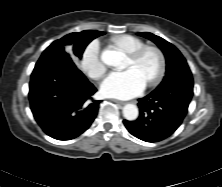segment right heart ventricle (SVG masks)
Here are the masks:
<instances>
[{
    "label": "right heart ventricle",
    "instance_id": "obj_1",
    "mask_svg": "<svg viewBox=\"0 0 222 187\" xmlns=\"http://www.w3.org/2000/svg\"><path fill=\"white\" fill-rule=\"evenodd\" d=\"M110 42L127 55L145 45L142 39L128 34L114 36L110 39Z\"/></svg>",
    "mask_w": 222,
    "mask_h": 187
}]
</instances>
